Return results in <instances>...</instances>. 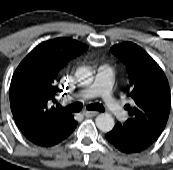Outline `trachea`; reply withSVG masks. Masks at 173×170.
<instances>
[{
    "label": "trachea",
    "mask_w": 173,
    "mask_h": 170,
    "mask_svg": "<svg viewBox=\"0 0 173 170\" xmlns=\"http://www.w3.org/2000/svg\"><path fill=\"white\" fill-rule=\"evenodd\" d=\"M68 112H80L82 109V104L80 102L73 103L71 105H68L64 108ZM88 110L92 111H105V108L102 104L96 103V104H90L87 106Z\"/></svg>",
    "instance_id": "1"
}]
</instances>
